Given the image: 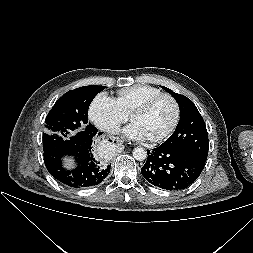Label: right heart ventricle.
<instances>
[{
    "label": "right heart ventricle",
    "instance_id": "right-heart-ventricle-1",
    "mask_svg": "<svg viewBox=\"0 0 253 253\" xmlns=\"http://www.w3.org/2000/svg\"><path fill=\"white\" fill-rule=\"evenodd\" d=\"M159 93H162V91L155 86L144 84L133 85L120 89L117 92L115 101L122 112L129 116L144 101Z\"/></svg>",
    "mask_w": 253,
    "mask_h": 253
}]
</instances>
